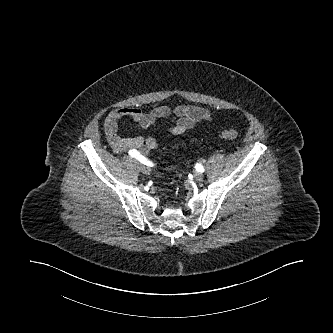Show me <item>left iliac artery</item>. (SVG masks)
I'll list each match as a JSON object with an SVG mask.
<instances>
[{"instance_id":"44dca946","label":"left iliac artery","mask_w":333,"mask_h":333,"mask_svg":"<svg viewBox=\"0 0 333 333\" xmlns=\"http://www.w3.org/2000/svg\"><path fill=\"white\" fill-rule=\"evenodd\" d=\"M195 169H196L197 172H201V173L204 172V167L199 163H197L195 165Z\"/></svg>"}]
</instances>
